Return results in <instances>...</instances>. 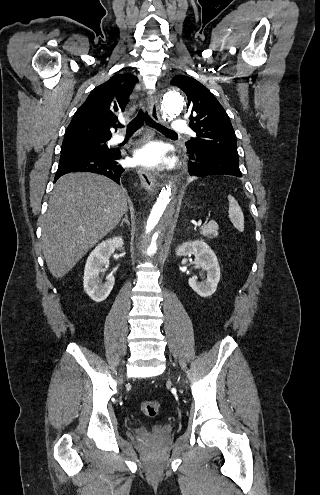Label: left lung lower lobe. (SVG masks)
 Returning a JSON list of instances; mask_svg holds the SVG:
<instances>
[{
  "label": "left lung lower lobe",
  "instance_id": "obj_1",
  "mask_svg": "<svg viewBox=\"0 0 320 495\" xmlns=\"http://www.w3.org/2000/svg\"><path fill=\"white\" fill-rule=\"evenodd\" d=\"M190 168L192 176L203 177L208 175H232L242 177L239 165L226 163L201 151H189Z\"/></svg>",
  "mask_w": 320,
  "mask_h": 495
}]
</instances>
